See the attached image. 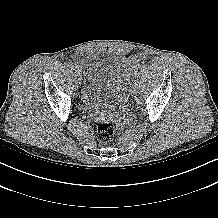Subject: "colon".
Listing matches in <instances>:
<instances>
[{"label": "colon", "mask_w": 218, "mask_h": 218, "mask_svg": "<svg viewBox=\"0 0 218 218\" xmlns=\"http://www.w3.org/2000/svg\"><path fill=\"white\" fill-rule=\"evenodd\" d=\"M96 137L100 143H108L114 137V126L109 120H102L98 123Z\"/></svg>", "instance_id": "5ec220e1"}]
</instances>
